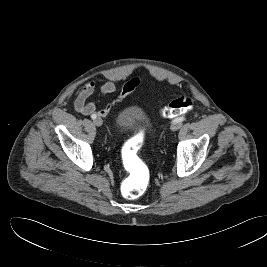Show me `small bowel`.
Listing matches in <instances>:
<instances>
[{"label":"small bowel","mask_w":267,"mask_h":267,"mask_svg":"<svg viewBox=\"0 0 267 267\" xmlns=\"http://www.w3.org/2000/svg\"><path fill=\"white\" fill-rule=\"evenodd\" d=\"M139 84L137 78L128 80L122 87L120 93L103 108L97 109L94 102L89 101L90 97L94 94L96 85L93 81L85 82L76 92L74 102L75 111L81 115L89 116L97 114L99 117H106L111 111L112 107L126 98ZM117 90V85L113 80H107L101 84L99 92L102 96H108Z\"/></svg>","instance_id":"obj_1"}]
</instances>
